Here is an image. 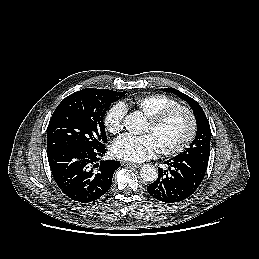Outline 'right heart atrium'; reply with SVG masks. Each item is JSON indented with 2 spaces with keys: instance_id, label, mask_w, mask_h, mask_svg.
I'll return each mask as SVG.
<instances>
[{
  "instance_id": "right-heart-atrium-1",
  "label": "right heart atrium",
  "mask_w": 259,
  "mask_h": 259,
  "mask_svg": "<svg viewBox=\"0 0 259 259\" xmlns=\"http://www.w3.org/2000/svg\"><path fill=\"white\" fill-rule=\"evenodd\" d=\"M127 108L123 102L114 103L105 113L103 122L111 134H118L124 127Z\"/></svg>"
}]
</instances>
